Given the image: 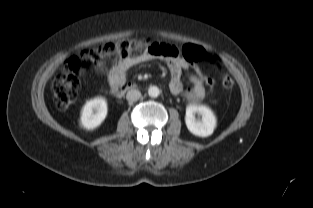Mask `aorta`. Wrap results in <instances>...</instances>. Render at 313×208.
Returning <instances> with one entry per match:
<instances>
[{"mask_svg": "<svg viewBox=\"0 0 313 208\" xmlns=\"http://www.w3.org/2000/svg\"><path fill=\"white\" fill-rule=\"evenodd\" d=\"M159 94H160V90H159V88H158L157 86H151V87H149V89H148V95H149L150 97L156 98V97L159 96Z\"/></svg>", "mask_w": 313, "mask_h": 208, "instance_id": "1", "label": "aorta"}]
</instances>
